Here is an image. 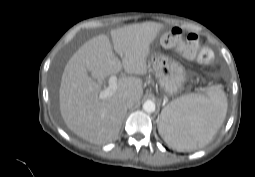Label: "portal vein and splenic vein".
Returning <instances> with one entry per match:
<instances>
[{
	"instance_id": "1",
	"label": "portal vein and splenic vein",
	"mask_w": 255,
	"mask_h": 177,
	"mask_svg": "<svg viewBox=\"0 0 255 177\" xmlns=\"http://www.w3.org/2000/svg\"><path fill=\"white\" fill-rule=\"evenodd\" d=\"M108 87L99 93L101 99L111 97L117 90V77L115 75L110 76L108 81Z\"/></svg>"
}]
</instances>
